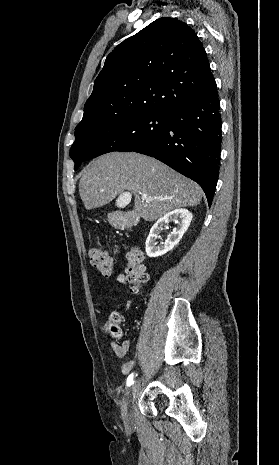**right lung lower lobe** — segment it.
I'll use <instances>...</instances> for the list:
<instances>
[{
	"instance_id": "1",
	"label": "right lung lower lobe",
	"mask_w": 279,
	"mask_h": 465,
	"mask_svg": "<svg viewBox=\"0 0 279 465\" xmlns=\"http://www.w3.org/2000/svg\"><path fill=\"white\" fill-rule=\"evenodd\" d=\"M165 130L143 146L128 147L154 157L197 182L211 205L219 176L220 101L215 80L202 96L167 111Z\"/></svg>"
}]
</instances>
